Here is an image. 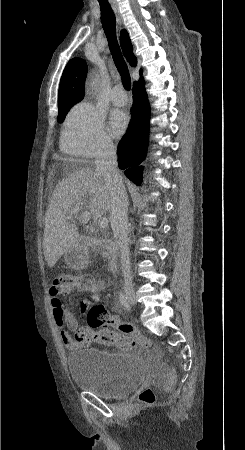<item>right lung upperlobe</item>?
<instances>
[{"mask_svg":"<svg viewBox=\"0 0 245 450\" xmlns=\"http://www.w3.org/2000/svg\"><path fill=\"white\" fill-rule=\"evenodd\" d=\"M120 43L124 55L130 65L137 64V58L133 54V47L126 30H122ZM142 75V70H140ZM87 76V65L80 58L71 59L66 65L59 86L58 107L68 104L77 103L84 97L85 78Z\"/></svg>","mask_w":245,"mask_h":450,"instance_id":"cb5924a9","label":"right lung upper lobe"}]
</instances>
